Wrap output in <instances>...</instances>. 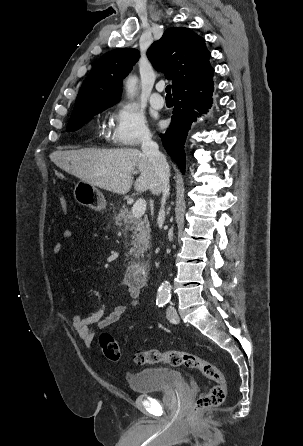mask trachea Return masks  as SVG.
<instances>
[{
  "label": "trachea",
  "instance_id": "3493384b",
  "mask_svg": "<svg viewBox=\"0 0 303 446\" xmlns=\"http://www.w3.org/2000/svg\"><path fill=\"white\" fill-rule=\"evenodd\" d=\"M165 91H166V93H167V95H166V97H172V95H171V86L170 85H168L166 88H165Z\"/></svg>",
  "mask_w": 303,
  "mask_h": 446
}]
</instances>
